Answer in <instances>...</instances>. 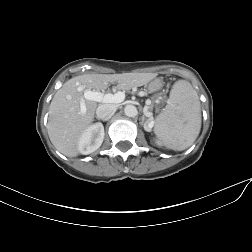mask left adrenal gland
I'll use <instances>...</instances> for the list:
<instances>
[{
    "instance_id": "obj_1",
    "label": "left adrenal gland",
    "mask_w": 252,
    "mask_h": 252,
    "mask_svg": "<svg viewBox=\"0 0 252 252\" xmlns=\"http://www.w3.org/2000/svg\"><path fill=\"white\" fill-rule=\"evenodd\" d=\"M145 120V116H143V121ZM150 120L151 119H147L145 122H144V128L147 129V125L150 123Z\"/></svg>"
}]
</instances>
